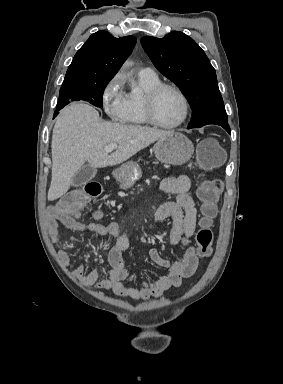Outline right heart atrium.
Segmentation results:
<instances>
[{"label":"right heart atrium","instance_id":"d8ad5b80","mask_svg":"<svg viewBox=\"0 0 283 384\" xmlns=\"http://www.w3.org/2000/svg\"><path fill=\"white\" fill-rule=\"evenodd\" d=\"M125 99L122 75L116 73L107 80L101 90V105L111 122L124 123Z\"/></svg>","mask_w":283,"mask_h":384}]
</instances>
